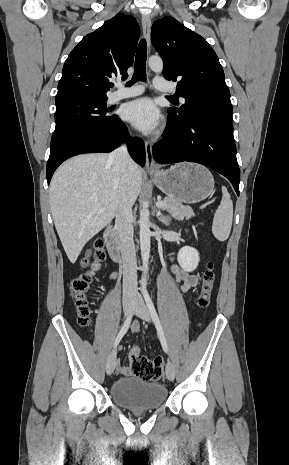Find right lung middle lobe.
I'll return each mask as SVG.
<instances>
[{"label": "right lung middle lobe", "instance_id": "1", "mask_svg": "<svg viewBox=\"0 0 289 465\" xmlns=\"http://www.w3.org/2000/svg\"><path fill=\"white\" fill-rule=\"evenodd\" d=\"M107 99L75 100L56 104V127L51 139V147L65 141L72 135L113 122L116 115H107Z\"/></svg>", "mask_w": 289, "mask_h": 465}]
</instances>
